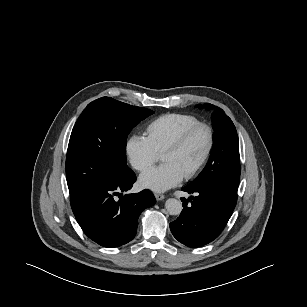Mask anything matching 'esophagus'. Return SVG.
<instances>
[{
	"label": "esophagus",
	"instance_id": "1",
	"mask_svg": "<svg viewBox=\"0 0 307 307\" xmlns=\"http://www.w3.org/2000/svg\"><path fill=\"white\" fill-rule=\"evenodd\" d=\"M154 196H155L156 200H158V201L165 199V195L161 194V193H154Z\"/></svg>",
	"mask_w": 307,
	"mask_h": 307
}]
</instances>
